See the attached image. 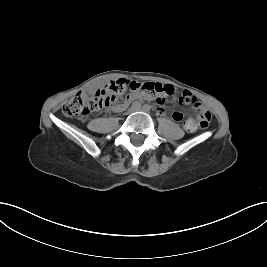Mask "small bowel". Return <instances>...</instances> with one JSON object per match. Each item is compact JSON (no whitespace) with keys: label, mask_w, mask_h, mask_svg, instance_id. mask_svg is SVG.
<instances>
[{"label":"small bowel","mask_w":267,"mask_h":267,"mask_svg":"<svg viewBox=\"0 0 267 267\" xmlns=\"http://www.w3.org/2000/svg\"><path fill=\"white\" fill-rule=\"evenodd\" d=\"M135 97H138V96H133L131 97L130 99L126 100V102L122 103V104H119V105H116L113 107V111H116V112H120V111H123L125 110L127 107H128V102L132 99V98H135ZM202 107L204 109H206L203 105ZM158 113L159 114H164L165 113V110L161 107L158 108ZM173 114H180L181 117L178 119V120H175L173 119ZM172 114V119L175 121V122H183V127L185 128V130H187L188 132H195L197 130V127L196 125L192 122L191 118H187L184 120L183 118V115L180 113V112H174Z\"/></svg>","instance_id":"small-bowel-1"}]
</instances>
